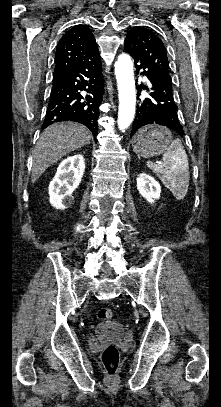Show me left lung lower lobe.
I'll return each instance as SVG.
<instances>
[{"mask_svg": "<svg viewBox=\"0 0 221 407\" xmlns=\"http://www.w3.org/2000/svg\"><path fill=\"white\" fill-rule=\"evenodd\" d=\"M124 51L133 57L137 71L144 70L141 74L147 76L152 85L150 97L139 99L131 135L144 125L159 124L174 130L182 136L184 131L178 119L171 79L155 73L145 63L138 61L127 39L124 41ZM142 89H144V86L138 87L139 91ZM145 89L148 90L147 87Z\"/></svg>", "mask_w": 221, "mask_h": 407, "instance_id": "obj_1", "label": "left lung lower lobe"}]
</instances>
